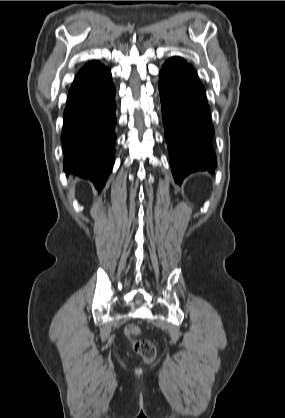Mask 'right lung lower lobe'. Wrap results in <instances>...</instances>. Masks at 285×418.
<instances>
[{"label": "right lung lower lobe", "instance_id": "1", "mask_svg": "<svg viewBox=\"0 0 285 418\" xmlns=\"http://www.w3.org/2000/svg\"><path fill=\"white\" fill-rule=\"evenodd\" d=\"M115 93L105 69L69 91L63 116L64 170L91 180L99 192L115 162Z\"/></svg>", "mask_w": 285, "mask_h": 418}]
</instances>
